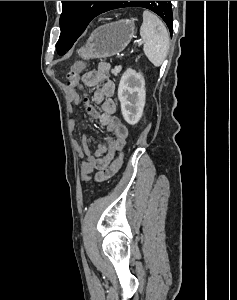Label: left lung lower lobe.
Here are the masks:
<instances>
[{"label": "left lung lower lobe", "instance_id": "1", "mask_svg": "<svg viewBox=\"0 0 237 300\" xmlns=\"http://www.w3.org/2000/svg\"><path fill=\"white\" fill-rule=\"evenodd\" d=\"M120 3H121V1H111L109 3V5L106 7L105 12L120 8ZM167 3H168V1H160V8L165 7V5H167ZM172 31H173V28H172V30H170L171 34H172Z\"/></svg>", "mask_w": 237, "mask_h": 300}]
</instances>
